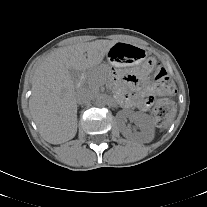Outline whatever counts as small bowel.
<instances>
[{
  "instance_id": "obj_1",
  "label": "small bowel",
  "mask_w": 207,
  "mask_h": 207,
  "mask_svg": "<svg viewBox=\"0 0 207 207\" xmlns=\"http://www.w3.org/2000/svg\"><path fill=\"white\" fill-rule=\"evenodd\" d=\"M147 67L140 70V77L134 75L127 76L126 82L133 89V93L120 91L119 97L125 105L136 104L142 110L148 109L154 100L155 85L147 79Z\"/></svg>"
}]
</instances>
